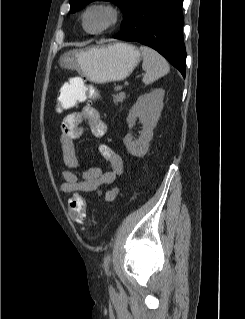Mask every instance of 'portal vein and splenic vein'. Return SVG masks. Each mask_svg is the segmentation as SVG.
<instances>
[{
	"label": "portal vein and splenic vein",
	"instance_id": "obj_1",
	"mask_svg": "<svg viewBox=\"0 0 245 319\" xmlns=\"http://www.w3.org/2000/svg\"><path fill=\"white\" fill-rule=\"evenodd\" d=\"M122 89V86H117L116 87V90H121Z\"/></svg>",
	"mask_w": 245,
	"mask_h": 319
}]
</instances>
